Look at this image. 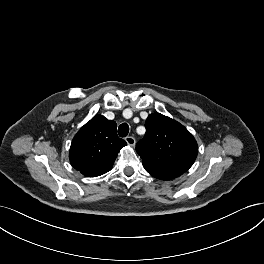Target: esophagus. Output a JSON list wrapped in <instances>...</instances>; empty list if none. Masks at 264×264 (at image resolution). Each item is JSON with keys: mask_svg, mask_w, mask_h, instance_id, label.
Returning a JSON list of instances; mask_svg holds the SVG:
<instances>
[{"mask_svg": "<svg viewBox=\"0 0 264 264\" xmlns=\"http://www.w3.org/2000/svg\"><path fill=\"white\" fill-rule=\"evenodd\" d=\"M125 140L129 146H133L135 144V138L132 136H127Z\"/></svg>", "mask_w": 264, "mask_h": 264, "instance_id": "obj_1", "label": "esophagus"}]
</instances>
